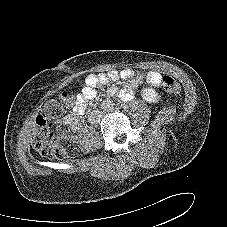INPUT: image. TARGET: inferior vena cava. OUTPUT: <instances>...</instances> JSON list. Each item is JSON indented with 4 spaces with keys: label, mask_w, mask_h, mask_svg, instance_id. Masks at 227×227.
I'll return each mask as SVG.
<instances>
[{
    "label": "inferior vena cava",
    "mask_w": 227,
    "mask_h": 227,
    "mask_svg": "<svg viewBox=\"0 0 227 227\" xmlns=\"http://www.w3.org/2000/svg\"><path fill=\"white\" fill-rule=\"evenodd\" d=\"M97 114H98V113H97V111H95V110L92 111V112H90V121H91V122L95 121V120H94V117H96Z\"/></svg>",
    "instance_id": "obj_1"
}]
</instances>
